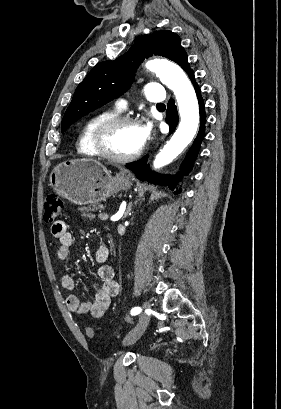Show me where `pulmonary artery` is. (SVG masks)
I'll list each match as a JSON object with an SVG mask.
<instances>
[{
    "instance_id": "pulmonary-artery-1",
    "label": "pulmonary artery",
    "mask_w": 281,
    "mask_h": 409,
    "mask_svg": "<svg viewBox=\"0 0 281 409\" xmlns=\"http://www.w3.org/2000/svg\"><path fill=\"white\" fill-rule=\"evenodd\" d=\"M145 88L147 90L141 92V97L143 99H148L151 103L163 102L165 88L162 86L161 81H147L145 83ZM117 104L119 106H124L126 104V99L124 97H119L117 99Z\"/></svg>"
}]
</instances>
